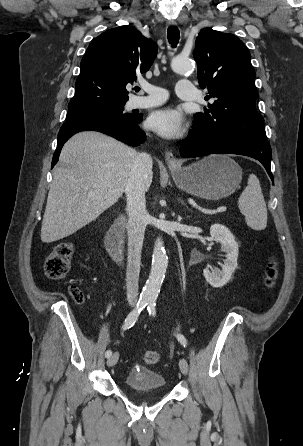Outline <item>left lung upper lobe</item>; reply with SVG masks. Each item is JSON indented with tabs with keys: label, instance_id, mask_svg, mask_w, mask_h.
I'll list each match as a JSON object with an SVG mask.
<instances>
[{
	"label": "left lung upper lobe",
	"instance_id": "5c2ea615",
	"mask_svg": "<svg viewBox=\"0 0 303 446\" xmlns=\"http://www.w3.org/2000/svg\"><path fill=\"white\" fill-rule=\"evenodd\" d=\"M198 82L213 99L209 110L194 115V128L226 132L237 137L267 140L263 117L255 107L258 92L250 54L233 34L203 29L193 52Z\"/></svg>",
	"mask_w": 303,
	"mask_h": 446
}]
</instances>
